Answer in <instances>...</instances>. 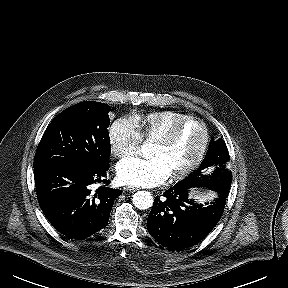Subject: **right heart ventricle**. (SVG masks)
I'll return each instance as SVG.
<instances>
[{
    "label": "right heart ventricle",
    "mask_w": 288,
    "mask_h": 288,
    "mask_svg": "<svg viewBox=\"0 0 288 288\" xmlns=\"http://www.w3.org/2000/svg\"><path fill=\"white\" fill-rule=\"evenodd\" d=\"M188 116V114L183 112L164 110L148 113L142 116H135L133 120L135 121L142 137L154 141L174 123Z\"/></svg>",
    "instance_id": "e07e8e85"
}]
</instances>
